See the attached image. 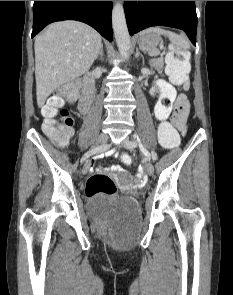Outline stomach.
<instances>
[{
	"mask_svg": "<svg viewBox=\"0 0 233 295\" xmlns=\"http://www.w3.org/2000/svg\"><path fill=\"white\" fill-rule=\"evenodd\" d=\"M160 41V34L155 32H148L144 34L141 33L138 37L139 48L144 52L155 49L156 46L160 43Z\"/></svg>",
	"mask_w": 233,
	"mask_h": 295,
	"instance_id": "1",
	"label": "stomach"
}]
</instances>
